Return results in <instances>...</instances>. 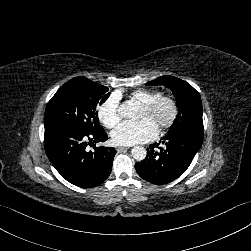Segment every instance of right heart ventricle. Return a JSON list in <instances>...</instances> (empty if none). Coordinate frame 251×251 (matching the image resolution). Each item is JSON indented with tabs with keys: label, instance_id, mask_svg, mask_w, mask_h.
<instances>
[{
	"label": "right heart ventricle",
	"instance_id": "e07e8e85",
	"mask_svg": "<svg viewBox=\"0 0 251 251\" xmlns=\"http://www.w3.org/2000/svg\"><path fill=\"white\" fill-rule=\"evenodd\" d=\"M162 96V92L155 89H137L131 92L130 98L140 106L147 105Z\"/></svg>",
	"mask_w": 251,
	"mask_h": 251
}]
</instances>
